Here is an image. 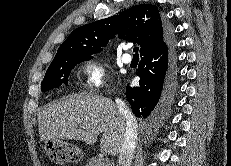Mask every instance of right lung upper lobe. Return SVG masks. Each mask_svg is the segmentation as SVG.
Instances as JSON below:
<instances>
[{
    "mask_svg": "<svg viewBox=\"0 0 231 166\" xmlns=\"http://www.w3.org/2000/svg\"><path fill=\"white\" fill-rule=\"evenodd\" d=\"M130 39L141 47V56L152 53L166 42L167 23L158 9L149 4L133 6L119 15L81 26L68 36L53 61L68 56L92 55L102 51L115 36Z\"/></svg>",
    "mask_w": 231,
    "mask_h": 166,
    "instance_id": "1",
    "label": "right lung upper lobe"
}]
</instances>
